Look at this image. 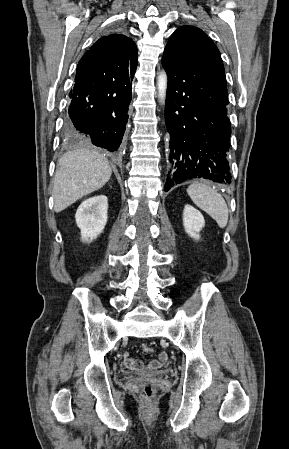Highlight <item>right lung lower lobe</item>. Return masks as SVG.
<instances>
[{
  "instance_id": "1",
  "label": "right lung lower lobe",
  "mask_w": 289,
  "mask_h": 449,
  "mask_svg": "<svg viewBox=\"0 0 289 449\" xmlns=\"http://www.w3.org/2000/svg\"><path fill=\"white\" fill-rule=\"evenodd\" d=\"M134 73L115 79H75L65 126L68 134L89 138L96 146L116 151L128 122Z\"/></svg>"
}]
</instances>
